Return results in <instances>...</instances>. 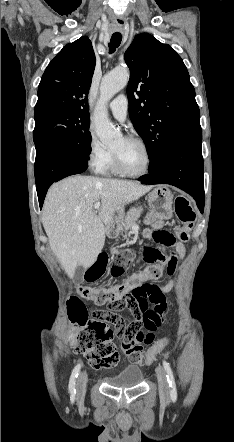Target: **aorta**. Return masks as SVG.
<instances>
[{
    "instance_id": "762f6f07",
    "label": "aorta",
    "mask_w": 234,
    "mask_h": 442,
    "mask_svg": "<svg viewBox=\"0 0 234 442\" xmlns=\"http://www.w3.org/2000/svg\"><path fill=\"white\" fill-rule=\"evenodd\" d=\"M129 81L127 68L114 69L102 79L100 86V99L94 114L95 130L104 144H111L120 133L108 119L106 105L112 97L122 90Z\"/></svg>"
}]
</instances>
